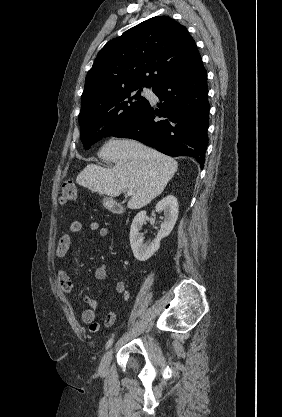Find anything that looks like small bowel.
<instances>
[{
    "instance_id": "obj_1",
    "label": "small bowel",
    "mask_w": 282,
    "mask_h": 417,
    "mask_svg": "<svg viewBox=\"0 0 282 417\" xmlns=\"http://www.w3.org/2000/svg\"><path fill=\"white\" fill-rule=\"evenodd\" d=\"M81 229L82 223L79 220H73L72 222H70L67 232L64 233L58 241V245L55 250V256L57 259H62L67 255L71 245L72 236L79 233ZM89 229L91 231H97L101 239H107L110 235V230L108 227H101L95 221L89 224ZM95 277L99 281L110 282V278L108 276V272L105 266H100L96 269ZM57 281L64 293H72L73 282L68 273L63 268H59L57 271ZM113 285L115 292L122 296L123 302H126L130 297V293L126 288L125 283L122 281H115L113 282ZM83 301L89 306V308L83 311L82 320L85 324L88 325L89 331L95 333L100 329V325L95 321L98 302L89 295H84ZM115 320L116 312L112 310L105 317V327H111L114 324Z\"/></svg>"
}]
</instances>
